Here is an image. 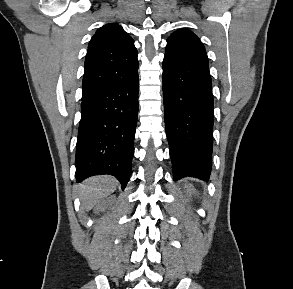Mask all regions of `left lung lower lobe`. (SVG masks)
Here are the masks:
<instances>
[{"mask_svg": "<svg viewBox=\"0 0 293 289\" xmlns=\"http://www.w3.org/2000/svg\"><path fill=\"white\" fill-rule=\"evenodd\" d=\"M166 135L174 180H209L213 150V95L208 66L163 60Z\"/></svg>", "mask_w": 293, "mask_h": 289, "instance_id": "0a47b994", "label": "left lung lower lobe"}]
</instances>
